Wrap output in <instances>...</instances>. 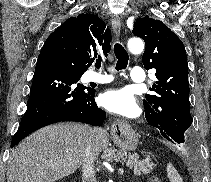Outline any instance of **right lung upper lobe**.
<instances>
[{
    "mask_svg": "<svg viewBox=\"0 0 211 182\" xmlns=\"http://www.w3.org/2000/svg\"><path fill=\"white\" fill-rule=\"evenodd\" d=\"M61 26L76 38L85 67H90L98 49L107 57L111 46V31L94 14H79L67 19Z\"/></svg>",
    "mask_w": 211,
    "mask_h": 182,
    "instance_id": "cb5924a9",
    "label": "right lung upper lobe"
}]
</instances>
